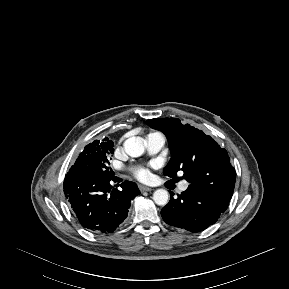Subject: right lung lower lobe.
<instances>
[{"label": "right lung lower lobe", "instance_id": "obj_1", "mask_svg": "<svg viewBox=\"0 0 289 289\" xmlns=\"http://www.w3.org/2000/svg\"><path fill=\"white\" fill-rule=\"evenodd\" d=\"M109 179L96 178L71 168L64 179V193L80 224L96 233H112L128 215V208L140 191L131 181L112 189Z\"/></svg>", "mask_w": 289, "mask_h": 289}]
</instances>
